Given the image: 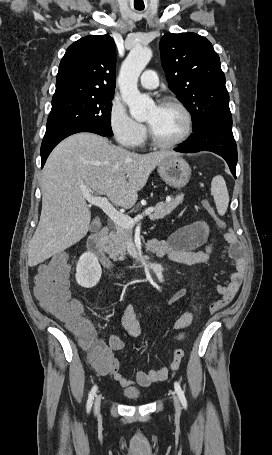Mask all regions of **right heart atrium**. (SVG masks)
I'll return each instance as SVG.
<instances>
[{
  "mask_svg": "<svg viewBox=\"0 0 272 455\" xmlns=\"http://www.w3.org/2000/svg\"><path fill=\"white\" fill-rule=\"evenodd\" d=\"M108 122L115 140L121 146L132 149L143 142L146 134L144 125L133 119L118 99L111 102Z\"/></svg>",
  "mask_w": 272,
  "mask_h": 455,
  "instance_id": "obj_1",
  "label": "right heart atrium"
}]
</instances>
